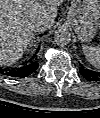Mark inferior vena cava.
<instances>
[{
	"instance_id": "inferior-vena-cava-1",
	"label": "inferior vena cava",
	"mask_w": 100,
	"mask_h": 118,
	"mask_svg": "<svg viewBox=\"0 0 100 118\" xmlns=\"http://www.w3.org/2000/svg\"><path fill=\"white\" fill-rule=\"evenodd\" d=\"M49 29V26L47 24H45L43 21H37L35 23L32 24V30L34 32H45L46 30Z\"/></svg>"
}]
</instances>
